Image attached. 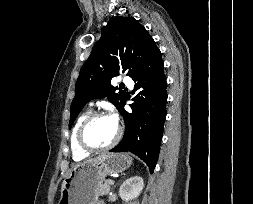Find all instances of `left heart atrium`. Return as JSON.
Wrapping results in <instances>:
<instances>
[{
  "label": "left heart atrium",
  "instance_id": "obj_1",
  "mask_svg": "<svg viewBox=\"0 0 253 204\" xmlns=\"http://www.w3.org/2000/svg\"><path fill=\"white\" fill-rule=\"evenodd\" d=\"M108 117L115 124L118 125V115L115 112H111Z\"/></svg>",
  "mask_w": 253,
  "mask_h": 204
}]
</instances>
